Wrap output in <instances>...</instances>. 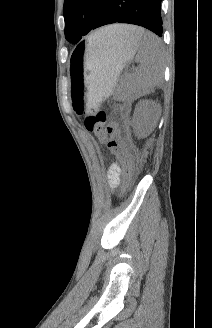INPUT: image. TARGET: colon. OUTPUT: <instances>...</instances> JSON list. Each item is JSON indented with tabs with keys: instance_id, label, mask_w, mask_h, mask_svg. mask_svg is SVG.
Returning a JSON list of instances; mask_svg holds the SVG:
<instances>
[{
	"instance_id": "5ec220e1",
	"label": "colon",
	"mask_w": 212,
	"mask_h": 328,
	"mask_svg": "<svg viewBox=\"0 0 212 328\" xmlns=\"http://www.w3.org/2000/svg\"><path fill=\"white\" fill-rule=\"evenodd\" d=\"M85 127L87 130L95 133L101 143L115 155H119L125 160L124 176L121 184L120 196L130 188L141 160L139 157L132 158L124 149L123 137L118 125L114 122H108L104 111H99L85 118Z\"/></svg>"
}]
</instances>
